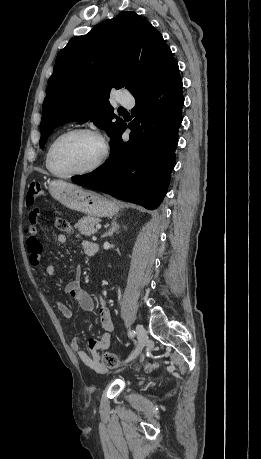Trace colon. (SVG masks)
Returning a JSON list of instances; mask_svg holds the SVG:
<instances>
[{
  "mask_svg": "<svg viewBox=\"0 0 261 459\" xmlns=\"http://www.w3.org/2000/svg\"><path fill=\"white\" fill-rule=\"evenodd\" d=\"M43 196L42 187L39 182H32L29 186L27 196H26V203L29 207H34L36 201ZM40 211L38 208H33L30 219L28 220V233L31 234H39L41 229V224L38 222V216ZM55 227L63 232H70L71 225L68 221L64 219H56L55 220ZM102 363L106 368H115L120 365V362L115 354L112 352L106 351L102 355ZM157 362H150L147 363L144 367L138 368L134 367L136 370L142 369L145 372H152L158 368Z\"/></svg>",
  "mask_w": 261,
  "mask_h": 459,
  "instance_id": "5ec220e1",
  "label": "colon"
}]
</instances>
